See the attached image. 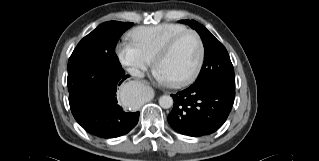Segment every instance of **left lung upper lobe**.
I'll use <instances>...</instances> for the list:
<instances>
[{
	"instance_id": "5c2ea615",
	"label": "left lung upper lobe",
	"mask_w": 319,
	"mask_h": 161,
	"mask_svg": "<svg viewBox=\"0 0 319 161\" xmlns=\"http://www.w3.org/2000/svg\"><path fill=\"white\" fill-rule=\"evenodd\" d=\"M195 29L204 45V63L194 84L214 83L235 89L234 69L226 48L203 25L194 20H181Z\"/></svg>"
}]
</instances>
